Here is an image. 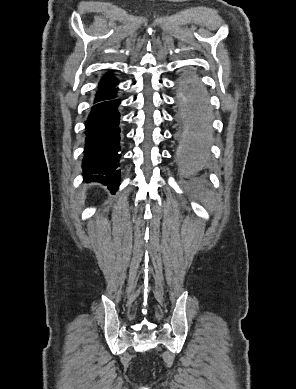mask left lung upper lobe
<instances>
[{
	"mask_svg": "<svg viewBox=\"0 0 296 389\" xmlns=\"http://www.w3.org/2000/svg\"><path fill=\"white\" fill-rule=\"evenodd\" d=\"M183 85L186 87L187 89V92H188V89H190L191 87L193 86H200V83L195 79V78H192V77H188L184 80L183 82ZM186 92V95H185V98H184V102L186 103L187 102V95L188 93ZM184 120H186L187 122H193L195 120V117L194 115L192 114H189L188 112H186L184 114ZM195 136L193 135H187V139H191V138H194Z\"/></svg>",
	"mask_w": 296,
	"mask_h": 389,
	"instance_id": "left-lung-upper-lobe-1",
	"label": "left lung upper lobe"
}]
</instances>
